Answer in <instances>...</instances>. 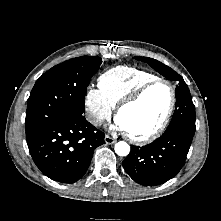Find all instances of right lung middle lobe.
<instances>
[{
    "mask_svg": "<svg viewBox=\"0 0 221 221\" xmlns=\"http://www.w3.org/2000/svg\"><path fill=\"white\" fill-rule=\"evenodd\" d=\"M101 63L97 56L73 58L52 67L36 81L27 100V140L56 121L82 116L87 86Z\"/></svg>",
    "mask_w": 221,
    "mask_h": 221,
    "instance_id": "dd1d6c3e",
    "label": "right lung middle lobe"
}]
</instances>
